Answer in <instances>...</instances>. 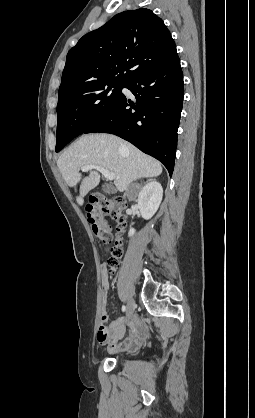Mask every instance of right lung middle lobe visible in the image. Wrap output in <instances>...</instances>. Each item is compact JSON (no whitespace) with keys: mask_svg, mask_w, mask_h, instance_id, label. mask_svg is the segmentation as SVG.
<instances>
[{"mask_svg":"<svg viewBox=\"0 0 255 418\" xmlns=\"http://www.w3.org/2000/svg\"><path fill=\"white\" fill-rule=\"evenodd\" d=\"M126 84L101 82L60 93L57 104V143L60 151L72 139L105 117Z\"/></svg>","mask_w":255,"mask_h":418,"instance_id":"dd1d6c3e","label":"right lung middle lobe"}]
</instances>
